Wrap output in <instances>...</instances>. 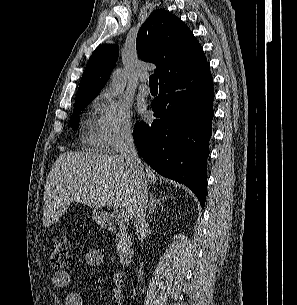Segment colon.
<instances>
[{"label": "colon", "mask_w": 297, "mask_h": 305, "mask_svg": "<svg viewBox=\"0 0 297 305\" xmlns=\"http://www.w3.org/2000/svg\"><path fill=\"white\" fill-rule=\"evenodd\" d=\"M51 262L56 269H64L70 267L73 262V256L70 254L64 236H57L51 245Z\"/></svg>", "instance_id": "obj_1"}]
</instances>
